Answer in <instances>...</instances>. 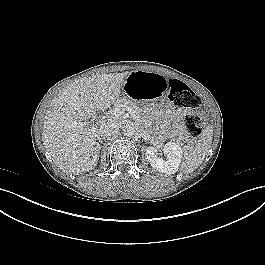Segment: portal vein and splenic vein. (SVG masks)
Masks as SVG:
<instances>
[{
  "instance_id": "portal-vein-and-splenic-vein-1",
  "label": "portal vein and splenic vein",
  "mask_w": 265,
  "mask_h": 265,
  "mask_svg": "<svg viewBox=\"0 0 265 265\" xmlns=\"http://www.w3.org/2000/svg\"><path fill=\"white\" fill-rule=\"evenodd\" d=\"M125 111H127L132 117L136 118V115H135V111L130 108L129 106L125 107L123 105H118L114 108V110L111 112V113H108L107 116H103L101 117V120L105 119V118H111V116H114V117H119L121 116ZM72 125L74 127H79L80 125H82V122H76L74 121L72 123Z\"/></svg>"
}]
</instances>
